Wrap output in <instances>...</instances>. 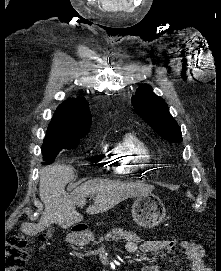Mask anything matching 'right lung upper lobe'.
Masks as SVG:
<instances>
[{
	"label": "right lung upper lobe",
	"instance_id": "obj_1",
	"mask_svg": "<svg viewBox=\"0 0 221 271\" xmlns=\"http://www.w3.org/2000/svg\"><path fill=\"white\" fill-rule=\"evenodd\" d=\"M92 122L89 106L84 98L63 102L55 111L46 137L78 138L89 132Z\"/></svg>",
	"mask_w": 221,
	"mask_h": 271
}]
</instances>
